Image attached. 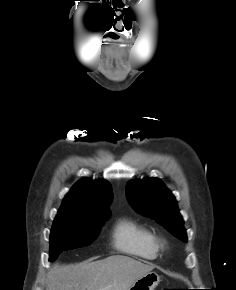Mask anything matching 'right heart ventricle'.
<instances>
[{
    "instance_id": "obj_1",
    "label": "right heart ventricle",
    "mask_w": 236,
    "mask_h": 290,
    "mask_svg": "<svg viewBox=\"0 0 236 290\" xmlns=\"http://www.w3.org/2000/svg\"><path fill=\"white\" fill-rule=\"evenodd\" d=\"M112 244L120 252L152 260L159 254V243L155 234L135 219L122 217L112 230Z\"/></svg>"
}]
</instances>
